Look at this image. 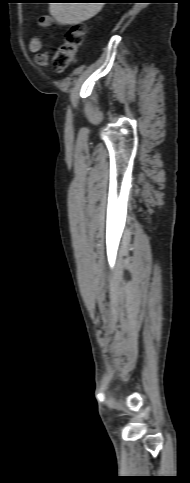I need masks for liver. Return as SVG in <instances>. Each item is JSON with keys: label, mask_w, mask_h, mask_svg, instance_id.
<instances>
[{"label": "liver", "mask_w": 190, "mask_h": 483, "mask_svg": "<svg viewBox=\"0 0 190 483\" xmlns=\"http://www.w3.org/2000/svg\"><path fill=\"white\" fill-rule=\"evenodd\" d=\"M104 3H50V14L61 25H77L94 17Z\"/></svg>", "instance_id": "6515ba94"}]
</instances>
